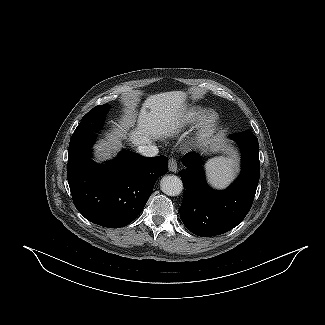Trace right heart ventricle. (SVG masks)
<instances>
[{
    "label": "right heart ventricle",
    "mask_w": 325,
    "mask_h": 325,
    "mask_svg": "<svg viewBox=\"0 0 325 325\" xmlns=\"http://www.w3.org/2000/svg\"><path fill=\"white\" fill-rule=\"evenodd\" d=\"M204 111L205 109L200 106L187 107L173 120L172 129L178 131L191 125L201 117Z\"/></svg>",
    "instance_id": "e07e8e85"
}]
</instances>
